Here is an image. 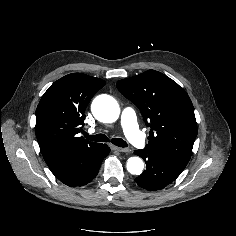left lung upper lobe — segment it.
Masks as SVG:
<instances>
[{"label":"left lung upper lobe","mask_w":236,"mask_h":236,"mask_svg":"<svg viewBox=\"0 0 236 236\" xmlns=\"http://www.w3.org/2000/svg\"><path fill=\"white\" fill-rule=\"evenodd\" d=\"M116 87L151 128L146 148L185 168L197 136L194 108L185 90L155 70L122 79Z\"/></svg>","instance_id":"left-lung-upper-lobe-1"}]
</instances>
